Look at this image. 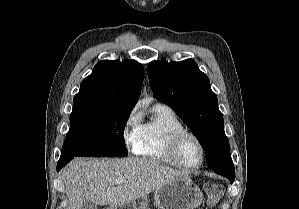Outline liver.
Returning <instances> with one entry per match:
<instances>
[{
  "label": "liver",
  "mask_w": 299,
  "mask_h": 209,
  "mask_svg": "<svg viewBox=\"0 0 299 209\" xmlns=\"http://www.w3.org/2000/svg\"><path fill=\"white\" fill-rule=\"evenodd\" d=\"M62 178L69 200L68 209H81L84 201L96 205L122 206L144 198L155 189L188 178L184 171L141 158L74 159ZM116 180H122L119 185Z\"/></svg>",
  "instance_id": "obj_1"
}]
</instances>
